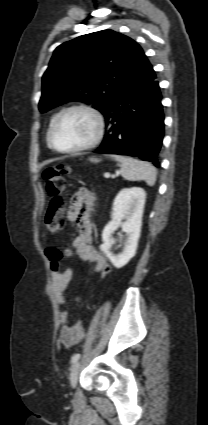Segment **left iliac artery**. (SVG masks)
I'll use <instances>...</instances> for the list:
<instances>
[{
	"mask_svg": "<svg viewBox=\"0 0 208 425\" xmlns=\"http://www.w3.org/2000/svg\"><path fill=\"white\" fill-rule=\"evenodd\" d=\"M80 356H81L80 354H74L71 358V363L77 362L79 360Z\"/></svg>",
	"mask_w": 208,
	"mask_h": 425,
	"instance_id": "left-iliac-artery-1",
	"label": "left iliac artery"
}]
</instances>
